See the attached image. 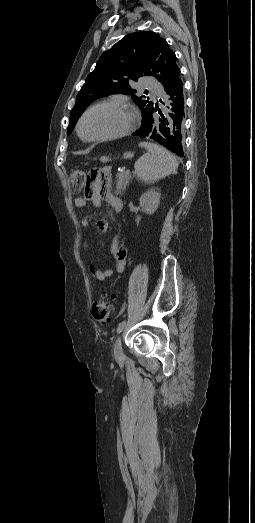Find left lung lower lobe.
I'll return each mask as SVG.
<instances>
[{
    "mask_svg": "<svg viewBox=\"0 0 255 523\" xmlns=\"http://www.w3.org/2000/svg\"><path fill=\"white\" fill-rule=\"evenodd\" d=\"M185 81L180 76L175 77L174 84L165 87V93L170 95L171 114H160V111H151L145 127L138 128L135 132L137 137H150V140H156L158 146L170 147L169 151L178 154L181 160H184L185 141L182 139L184 133V116L183 111L186 100H184L183 89ZM158 114L157 116H155Z\"/></svg>",
    "mask_w": 255,
    "mask_h": 523,
    "instance_id": "obj_1",
    "label": "left lung lower lobe"
}]
</instances>
